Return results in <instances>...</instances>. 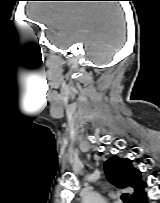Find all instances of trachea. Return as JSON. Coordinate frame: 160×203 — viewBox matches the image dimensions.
Segmentation results:
<instances>
[{"label": "trachea", "instance_id": "1", "mask_svg": "<svg viewBox=\"0 0 160 203\" xmlns=\"http://www.w3.org/2000/svg\"><path fill=\"white\" fill-rule=\"evenodd\" d=\"M121 199H122V201H123L124 203H131L128 194H123V195L121 196Z\"/></svg>", "mask_w": 160, "mask_h": 203}]
</instances>
